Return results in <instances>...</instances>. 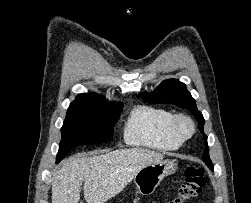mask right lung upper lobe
Returning <instances> with one entry per match:
<instances>
[{
    "label": "right lung upper lobe",
    "mask_w": 251,
    "mask_h": 203,
    "mask_svg": "<svg viewBox=\"0 0 251 203\" xmlns=\"http://www.w3.org/2000/svg\"><path fill=\"white\" fill-rule=\"evenodd\" d=\"M121 102H106V99L101 95L92 94H79L71 105H85V104H119Z\"/></svg>",
    "instance_id": "1"
}]
</instances>
